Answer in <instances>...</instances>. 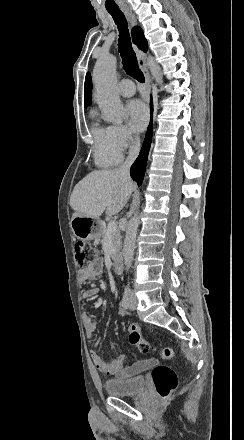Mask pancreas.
Listing matches in <instances>:
<instances>
[{
    "instance_id": "pancreas-1",
    "label": "pancreas",
    "mask_w": 244,
    "mask_h": 440,
    "mask_svg": "<svg viewBox=\"0 0 244 440\" xmlns=\"http://www.w3.org/2000/svg\"><path fill=\"white\" fill-rule=\"evenodd\" d=\"M110 236L114 250H116V252H120L122 248V236L120 230H115V232H111ZM97 238L98 240H100V238H105V232H103L102 230L101 234H99ZM112 258L113 260H115V256H112Z\"/></svg>"
}]
</instances>
